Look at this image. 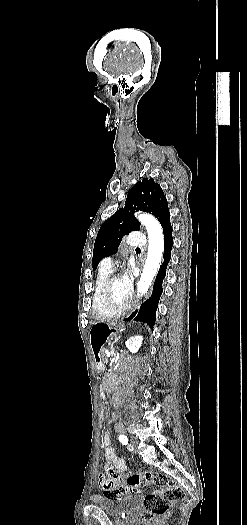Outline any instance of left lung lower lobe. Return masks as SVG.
I'll return each mask as SVG.
<instances>
[{
    "label": "left lung lower lobe",
    "mask_w": 247,
    "mask_h": 525,
    "mask_svg": "<svg viewBox=\"0 0 247 525\" xmlns=\"http://www.w3.org/2000/svg\"><path fill=\"white\" fill-rule=\"evenodd\" d=\"M161 225H162L163 232H164V262L161 265L158 275L156 277V281L153 286V292H152L151 297L145 303L142 304L137 315L135 312L132 316H130L127 319V320H130L136 315L134 318L136 321L145 322L152 326L155 324L156 310L158 307L160 296L163 292L162 281L164 277L166 276V268L171 258V249L173 246L172 226L170 223V215L167 216L161 222Z\"/></svg>",
    "instance_id": "1"
}]
</instances>
